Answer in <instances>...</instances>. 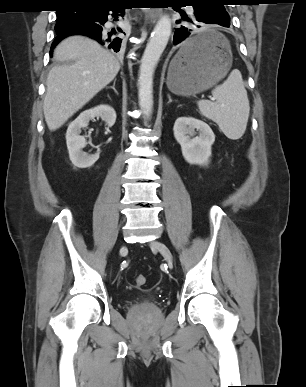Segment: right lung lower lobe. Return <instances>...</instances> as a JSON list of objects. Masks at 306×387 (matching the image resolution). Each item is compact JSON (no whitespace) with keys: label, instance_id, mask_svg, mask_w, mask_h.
Instances as JSON below:
<instances>
[{"label":"right lung lower lobe","instance_id":"1","mask_svg":"<svg viewBox=\"0 0 306 387\" xmlns=\"http://www.w3.org/2000/svg\"><path fill=\"white\" fill-rule=\"evenodd\" d=\"M125 9L126 8L119 3L105 7L91 8L88 11L87 18L83 22L61 31H57V37L54 40L51 49H53L63 38L70 35L81 34L89 36L97 40L100 44L106 45L115 52H118L121 47L122 39L117 35L119 32H122V30L117 27L109 29L105 23L108 21L107 16L110 12L113 13L112 16L123 17ZM116 20H118V17H115L114 21Z\"/></svg>","mask_w":306,"mask_h":387}]
</instances>
